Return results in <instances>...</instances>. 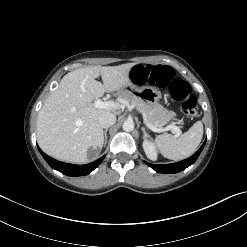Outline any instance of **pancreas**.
<instances>
[{
    "label": "pancreas",
    "mask_w": 247,
    "mask_h": 247,
    "mask_svg": "<svg viewBox=\"0 0 247 247\" xmlns=\"http://www.w3.org/2000/svg\"><path fill=\"white\" fill-rule=\"evenodd\" d=\"M122 100L135 107L143 115L144 119L155 127L164 126L175 116L174 112L166 110L159 104L151 105L139 98H131L125 95Z\"/></svg>",
    "instance_id": "pancreas-1"
}]
</instances>
